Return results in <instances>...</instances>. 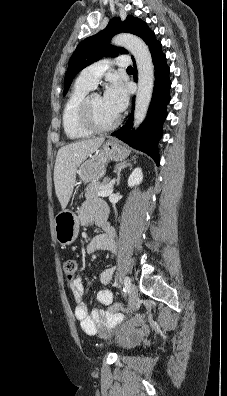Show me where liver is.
Instances as JSON below:
<instances>
[{"mask_svg":"<svg viewBox=\"0 0 227 396\" xmlns=\"http://www.w3.org/2000/svg\"><path fill=\"white\" fill-rule=\"evenodd\" d=\"M105 138L97 137L65 145L58 150L54 167L56 196L65 209L73 192L80 164L103 144Z\"/></svg>","mask_w":227,"mask_h":396,"instance_id":"6515ba94","label":"liver"}]
</instances>
